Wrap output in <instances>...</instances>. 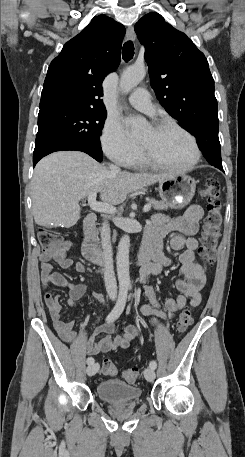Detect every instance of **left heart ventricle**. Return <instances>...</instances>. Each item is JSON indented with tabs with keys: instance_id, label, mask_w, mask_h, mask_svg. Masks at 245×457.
Instances as JSON below:
<instances>
[{
	"instance_id": "obj_1",
	"label": "left heart ventricle",
	"mask_w": 245,
	"mask_h": 457,
	"mask_svg": "<svg viewBox=\"0 0 245 457\" xmlns=\"http://www.w3.org/2000/svg\"><path fill=\"white\" fill-rule=\"evenodd\" d=\"M136 143L147 155L168 166H185L193 157L190 140L173 128L155 131L150 127L139 135Z\"/></svg>"
}]
</instances>
